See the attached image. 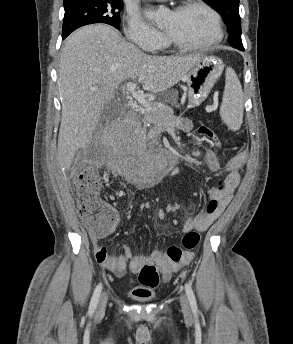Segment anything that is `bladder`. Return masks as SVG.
Wrapping results in <instances>:
<instances>
[{
	"mask_svg": "<svg viewBox=\"0 0 293 344\" xmlns=\"http://www.w3.org/2000/svg\"><path fill=\"white\" fill-rule=\"evenodd\" d=\"M142 299H143V300H148V299H149V297H143Z\"/></svg>",
	"mask_w": 293,
	"mask_h": 344,
	"instance_id": "obj_1",
	"label": "bladder"
}]
</instances>
